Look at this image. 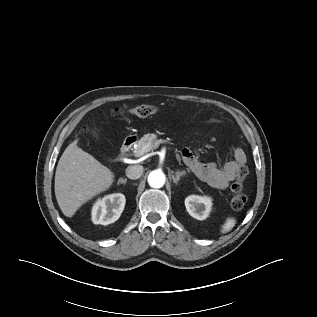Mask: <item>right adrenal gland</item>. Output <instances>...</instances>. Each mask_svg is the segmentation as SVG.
Segmentation results:
<instances>
[{
  "mask_svg": "<svg viewBox=\"0 0 317 317\" xmlns=\"http://www.w3.org/2000/svg\"><path fill=\"white\" fill-rule=\"evenodd\" d=\"M127 183V179L125 178V179H123V178H120L119 180H118V184H126Z\"/></svg>",
  "mask_w": 317,
  "mask_h": 317,
  "instance_id": "right-adrenal-gland-1",
  "label": "right adrenal gland"
}]
</instances>
